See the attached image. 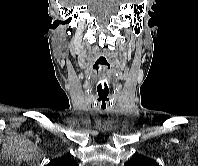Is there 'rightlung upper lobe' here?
I'll return each mask as SVG.
<instances>
[{
  "label": "right lung upper lobe",
  "mask_w": 198,
  "mask_h": 166,
  "mask_svg": "<svg viewBox=\"0 0 198 166\" xmlns=\"http://www.w3.org/2000/svg\"><path fill=\"white\" fill-rule=\"evenodd\" d=\"M46 166H78V164L68 156H64L51 160Z\"/></svg>",
  "instance_id": "right-lung-upper-lobe-1"
}]
</instances>
